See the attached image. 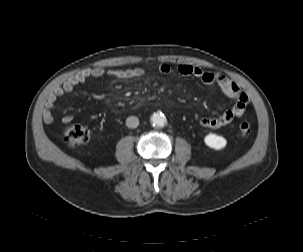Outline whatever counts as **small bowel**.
Segmentation results:
<instances>
[{
  "mask_svg": "<svg viewBox=\"0 0 303 252\" xmlns=\"http://www.w3.org/2000/svg\"><path fill=\"white\" fill-rule=\"evenodd\" d=\"M158 69L163 75H169L173 71L172 66L167 62L160 63ZM177 72L183 77L197 78L205 85H218L226 96L236 100L235 105L227 109L220 116L200 118L199 124L202 127L209 129L221 128L229 124L234 118L240 116L245 111L248 104V97L246 93L228 76L221 73L207 71L186 63L178 64ZM144 74L145 70L141 67L131 69H105L102 67H93L82 70L54 87L45 104L43 122L47 125L54 122V108L59 97L71 92L76 86L87 83L90 79L112 77L123 80L139 78ZM61 120L62 123H69L72 120V115L64 114Z\"/></svg>",
  "mask_w": 303,
  "mask_h": 252,
  "instance_id": "1",
  "label": "small bowel"
}]
</instances>
